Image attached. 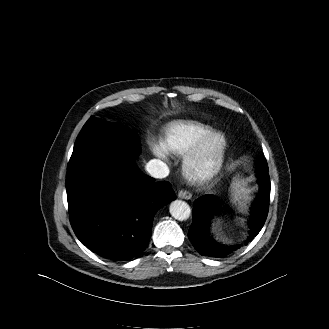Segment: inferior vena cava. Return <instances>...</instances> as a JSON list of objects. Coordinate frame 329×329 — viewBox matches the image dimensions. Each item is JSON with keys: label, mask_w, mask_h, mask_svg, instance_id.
<instances>
[{"label": "inferior vena cava", "mask_w": 329, "mask_h": 329, "mask_svg": "<svg viewBox=\"0 0 329 329\" xmlns=\"http://www.w3.org/2000/svg\"><path fill=\"white\" fill-rule=\"evenodd\" d=\"M145 169L154 178H165L169 175L167 164L159 159L150 160L146 164Z\"/></svg>", "instance_id": "602c4592"}]
</instances>
